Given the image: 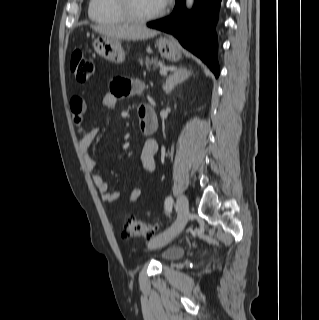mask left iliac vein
Segmentation results:
<instances>
[{
	"label": "left iliac vein",
	"mask_w": 319,
	"mask_h": 320,
	"mask_svg": "<svg viewBox=\"0 0 319 320\" xmlns=\"http://www.w3.org/2000/svg\"><path fill=\"white\" fill-rule=\"evenodd\" d=\"M177 219L172 226L162 234L155 237L149 243L150 248H159L166 245L176 237L186 226L189 218L188 200L184 195H180L176 202Z\"/></svg>",
	"instance_id": "left-iliac-vein-1"
}]
</instances>
